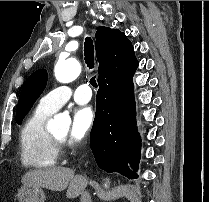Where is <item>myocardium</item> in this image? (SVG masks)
<instances>
[{"instance_id":"myocardium-1","label":"myocardium","mask_w":209,"mask_h":202,"mask_svg":"<svg viewBox=\"0 0 209 202\" xmlns=\"http://www.w3.org/2000/svg\"><path fill=\"white\" fill-rule=\"evenodd\" d=\"M53 142L55 143L56 147L60 150L62 146L65 144V139L57 138L54 135H51Z\"/></svg>"}]
</instances>
